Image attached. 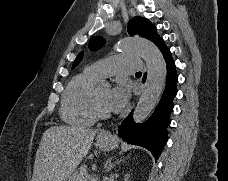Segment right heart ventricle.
<instances>
[{"label": "right heart ventricle", "instance_id": "e07e8e85", "mask_svg": "<svg viewBox=\"0 0 228 181\" xmlns=\"http://www.w3.org/2000/svg\"><path fill=\"white\" fill-rule=\"evenodd\" d=\"M98 79L86 70L71 79L62 102L61 114L64 120L81 125L95 122L97 114L94 97Z\"/></svg>", "mask_w": 228, "mask_h": 181}]
</instances>
